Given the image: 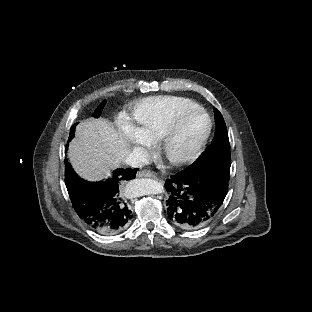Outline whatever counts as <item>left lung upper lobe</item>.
Here are the masks:
<instances>
[{
    "mask_svg": "<svg viewBox=\"0 0 312 312\" xmlns=\"http://www.w3.org/2000/svg\"><path fill=\"white\" fill-rule=\"evenodd\" d=\"M216 120V131L211 144L199 156V158L190 166L196 167L207 162L219 161L220 157L231 159L230 143L227 128L221 113L214 109Z\"/></svg>",
    "mask_w": 312,
    "mask_h": 312,
    "instance_id": "obj_1",
    "label": "left lung upper lobe"
}]
</instances>
